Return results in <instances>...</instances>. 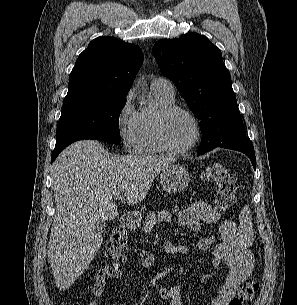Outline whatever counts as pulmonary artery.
<instances>
[{
    "label": "pulmonary artery",
    "mask_w": 297,
    "mask_h": 305,
    "mask_svg": "<svg viewBox=\"0 0 297 305\" xmlns=\"http://www.w3.org/2000/svg\"><path fill=\"white\" fill-rule=\"evenodd\" d=\"M151 88L153 91L162 93L168 98H174L175 88L172 82L165 77H158L152 80Z\"/></svg>",
    "instance_id": "pulmonary-artery-1"
}]
</instances>
